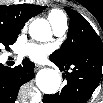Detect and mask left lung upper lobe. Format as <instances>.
I'll list each match as a JSON object with an SVG mask.
<instances>
[{"instance_id": "left-lung-upper-lobe-1", "label": "left lung upper lobe", "mask_w": 103, "mask_h": 103, "mask_svg": "<svg viewBox=\"0 0 103 103\" xmlns=\"http://www.w3.org/2000/svg\"><path fill=\"white\" fill-rule=\"evenodd\" d=\"M65 11L70 17L67 39L50 56L51 60L61 64L70 62L76 56H88L90 45H102L100 37L83 16L68 7H65Z\"/></svg>"}]
</instances>
